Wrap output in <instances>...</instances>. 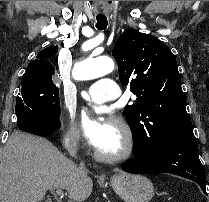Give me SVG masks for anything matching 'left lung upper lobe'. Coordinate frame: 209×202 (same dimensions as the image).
<instances>
[{
  "label": "left lung upper lobe",
  "mask_w": 209,
  "mask_h": 202,
  "mask_svg": "<svg viewBox=\"0 0 209 202\" xmlns=\"http://www.w3.org/2000/svg\"><path fill=\"white\" fill-rule=\"evenodd\" d=\"M112 55L121 83L136 95L135 103L123 111L133 144L157 149L168 139L192 131L177 62L167 45L155 36L127 29Z\"/></svg>",
  "instance_id": "1"
}]
</instances>
